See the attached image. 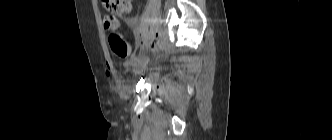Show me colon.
Listing matches in <instances>:
<instances>
[{"label":"colon","mask_w":332,"mask_h":140,"mask_svg":"<svg viewBox=\"0 0 332 140\" xmlns=\"http://www.w3.org/2000/svg\"><path fill=\"white\" fill-rule=\"evenodd\" d=\"M103 6L111 13L103 17L104 28L111 31L109 36V45L112 51L120 56H127L129 53V46L123 36L118 30L119 23L115 15L128 13L131 10L130 0H101Z\"/></svg>","instance_id":"colon-1"}]
</instances>
